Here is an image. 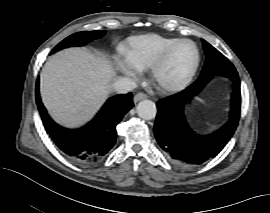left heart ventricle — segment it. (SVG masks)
I'll return each mask as SVG.
<instances>
[{"label": "left heart ventricle", "instance_id": "b2bd125f", "mask_svg": "<svg viewBox=\"0 0 270 213\" xmlns=\"http://www.w3.org/2000/svg\"><path fill=\"white\" fill-rule=\"evenodd\" d=\"M196 60L194 47L189 43L178 45L158 73L163 84H173L185 78L192 70Z\"/></svg>", "mask_w": 270, "mask_h": 213}]
</instances>
